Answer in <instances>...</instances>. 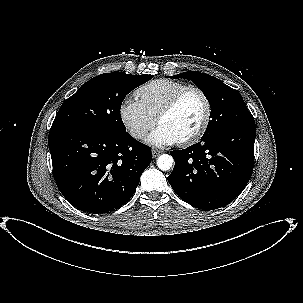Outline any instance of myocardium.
<instances>
[{
    "label": "myocardium",
    "mask_w": 303,
    "mask_h": 303,
    "mask_svg": "<svg viewBox=\"0 0 303 303\" xmlns=\"http://www.w3.org/2000/svg\"><path fill=\"white\" fill-rule=\"evenodd\" d=\"M191 92H196L198 93L205 106V111H204V116L203 119L198 127V129L189 135L188 137L178 141L180 145H191L193 143H196L199 141L202 136L205 134V132L208 129V126L211 121V116H212V105L211 102L207 96V94L199 87H194V86H189L180 92H178L159 112V114L156 117V122L157 124H160L161 120L171 114L179 105V103L182 101V99L189 93Z\"/></svg>",
    "instance_id": "f54148a6"
}]
</instances>
